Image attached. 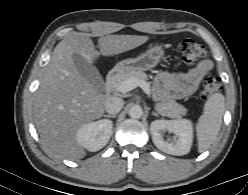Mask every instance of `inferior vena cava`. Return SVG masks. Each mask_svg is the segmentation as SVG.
<instances>
[{
    "label": "inferior vena cava",
    "instance_id": "602c4592",
    "mask_svg": "<svg viewBox=\"0 0 248 195\" xmlns=\"http://www.w3.org/2000/svg\"><path fill=\"white\" fill-rule=\"evenodd\" d=\"M124 106V101L122 98L119 97H110L107 99L106 103H105V110L109 113V114H117L120 112V110L123 108Z\"/></svg>",
    "mask_w": 248,
    "mask_h": 195
}]
</instances>
